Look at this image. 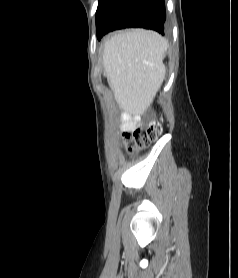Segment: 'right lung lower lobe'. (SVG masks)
<instances>
[{"instance_id": "obj_1", "label": "right lung lower lobe", "mask_w": 238, "mask_h": 278, "mask_svg": "<svg viewBox=\"0 0 238 278\" xmlns=\"http://www.w3.org/2000/svg\"><path fill=\"white\" fill-rule=\"evenodd\" d=\"M164 0H99L96 12L97 38L127 27H141L164 34Z\"/></svg>"}]
</instances>
